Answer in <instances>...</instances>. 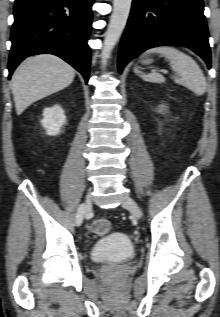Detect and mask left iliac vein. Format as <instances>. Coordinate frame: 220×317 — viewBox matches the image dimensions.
<instances>
[{"label":"left iliac vein","instance_id":"1","mask_svg":"<svg viewBox=\"0 0 220 317\" xmlns=\"http://www.w3.org/2000/svg\"><path fill=\"white\" fill-rule=\"evenodd\" d=\"M122 206L128 209L135 218L140 219L142 217L140 207L138 206L137 202L131 197H126L122 202Z\"/></svg>","mask_w":220,"mask_h":317}]
</instances>
